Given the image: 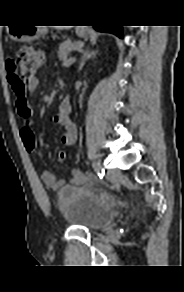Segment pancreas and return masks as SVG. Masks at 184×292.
Returning <instances> with one entry per match:
<instances>
[{
  "instance_id": "obj_1",
  "label": "pancreas",
  "mask_w": 184,
  "mask_h": 292,
  "mask_svg": "<svg viewBox=\"0 0 184 292\" xmlns=\"http://www.w3.org/2000/svg\"><path fill=\"white\" fill-rule=\"evenodd\" d=\"M82 45L83 44L79 41L72 42L70 40H67V41L61 43L59 46V51H58L59 59H61V60L66 59V57L68 56V54L71 51L80 49L82 47Z\"/></svg>"
}]
</instances>
